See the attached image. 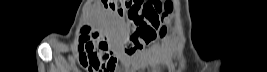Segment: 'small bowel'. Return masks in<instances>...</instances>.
<instances>
[{
  "instance_id": "1",
  "label": "small bowel",
  "mask_w": 267,
  "mask_h": 72,
  "mask_svg": "<svg viewBox=\"0 0 267 72\" xmlns=\"http://www.w3.org/2000/svg\"><path fill=\"white\" fill-rule=\"evenodd\" d=\"M168 22V21H167ZM106 32L100 33L95 30L86 29V36L89 37V43L92 47H96L98 42L104 38L106 40ZM168 50L162 51V48L160 45L154 44L152 45L148 50L139 52L137 54H125L120 49L111 50L110 48H107L105 51V63L109 66L114 67L118 61H122L126 65H131L134 67L144 68L148 66H154L162 63L165 61L169 55L171 54V51L174 47V44L166 42ZM83 49L81 48V42L79 40V46H78V54L80 62L87 67L89 71H92L90 67L87 66V64L84 62L83 58L85 57V54H83Z\"/></svg>"
}]
</instances>
